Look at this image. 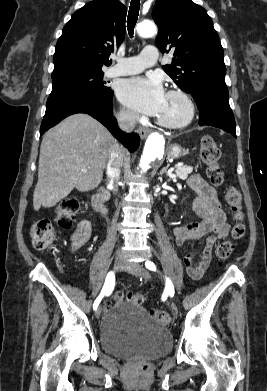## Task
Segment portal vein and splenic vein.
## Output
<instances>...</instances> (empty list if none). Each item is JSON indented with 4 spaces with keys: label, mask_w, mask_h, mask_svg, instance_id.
Segmentation results:
<instances>
[{
    "label": "portal vein and splenic vein",
    "mask_w": 267,
    "mask_h": 391,
    "mask_svg": "<svg viewBox=\"0 0 267 391\" xmlns=\"http://www.w3.org/2000/svg\"><path fill=\"white\" fill-rule=\"evenodd\" d=\"M172 170H174V168H172ZM82 171H83V172H87V169H83Z\"/></svg>",
    "instance_id": "18ae733b"
}]
</instances>
